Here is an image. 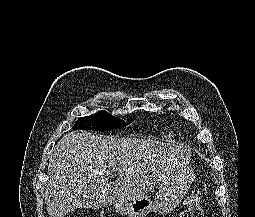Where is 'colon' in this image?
<instances>
[{
    "instance_id": "1",
    "label": "colon",
    "mask_w": 255,
    "mask_h": 217,
    "mask_svg": "<svg viewBox=\"0 0 255 217\" xmlns=\"http://www.w3.org/2000/svg\"><path fill=\"white\" fill-rule=\"evenodd\" d=\"M185 209L181 217H204V211L201 206V193L198 190H192L185 201Z\"/></svg>"
}]
</instances>
